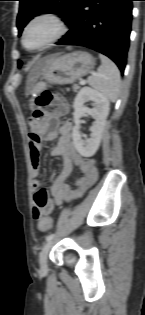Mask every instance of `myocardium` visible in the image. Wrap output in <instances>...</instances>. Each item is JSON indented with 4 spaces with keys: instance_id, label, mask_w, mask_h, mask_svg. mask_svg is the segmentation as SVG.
<instances>
[{
    "instance_id": "f54148a6",
    "label": "myocardium",
    "mask_w": 145,
    "mask_h": 315,
    "mask_svg": "<svg viewBox=\"0 0 145 315\" xmlns=\"http://www.w3.org/2000/svg\"><path fill=\"white\" fill-rule=\"evenodd\" d=\"M42 20L49 21V22H51L54 25V27H55L54 33L51 35V37L49 39H47L41 45H39L37 47H33V48L28 47L27 44H26V35H27V32H28L29 28L34 23H36L38 21H42ZM65 33H66L65 22L58 14L53 13V12H42V13L34 15L33 17H31L27 21V23L25 24V26L23 28V31H22L21 41H22V45L27 50H29V51H38V50H43V49L49 47L50 45H52L53 43L58 41Z\"/></svg>"
}]
</instances>
